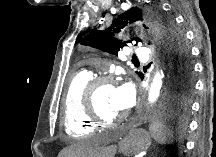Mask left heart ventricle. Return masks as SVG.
Listing matches in <instances>:
<instances>
[{
	"mask_svg": "<svg viewBox=\"0 0 216 157\" xmlns=\"http://www.w3.org/2000/svg\"><path fill=\"white\" fill-rule=\"evenodd\" d=\"M114 86L109 85L99 89L96 94V107L98 113L105 119H116L124 115V110H119L115 105Z\"/></svg>",
	"mask_w": 216,
	"mask_h": 157,
	"instance_id": "obj_1",
	"label": "left heart ventricle"
}]
</instances>
